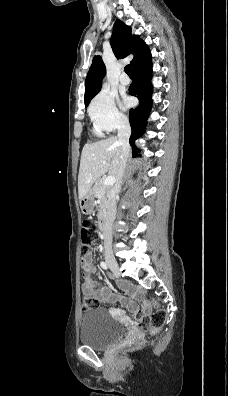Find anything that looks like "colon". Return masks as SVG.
Here are the masks:
<instances>
[{
    "instance_id": "5ec220e1",
    "label": "colon",
    "mask_w": 228,
    "mask_h": 396,
    "mask_svg": "<svg viewBox=\"0 0 228 396\" xmlns=\"http://www.w3.org/2000/svg\"><path fill=\"white\" fill-rule=\"evenodd\" d=\"M91 223L84 221L81 227V241H82V260H85L89 256V232ZM83 310H93L98 308V301L90 295L84 294L82 299ZM165 322V313L158 306L153 313L146 315L139 320V328L141 331H148L156 333ZM144 341L139 340L138 345H141Z\"/></svg>"
}]
</instances>
